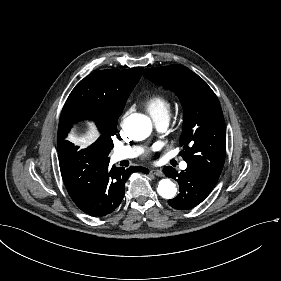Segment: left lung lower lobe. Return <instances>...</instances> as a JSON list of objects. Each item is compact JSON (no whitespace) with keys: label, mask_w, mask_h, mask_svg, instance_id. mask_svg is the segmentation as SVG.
<instances>
[{"label":"left lung lower lobe","mask_w":281,"mask_h":281,"mask_svg":"<svg viewBox=\"0 0 281 281\" xmlns=\"http://www.w3.org/2000/svg\"><path fill=\"white\" fill-rule=\"evenodd\" d=\"M167 177L177 180L180 193L168 200L171 207L188 210L200 204L211 192L218 178L203 169L189 165L185 171L178 173L172 167L163 169Z\"/></svg>","instance_id":"obj_1"}]
</instances>
